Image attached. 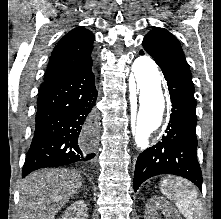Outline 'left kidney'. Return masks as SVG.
<instances>
[{
    "label": "left kidney",
    "instance_id": "5707ae66",
    "mask_svg": "<svg viewBox=\"0 0 221 219\" xmlns=\"http://www.w3.org/2000/svg\"><path fill=\"white\" fill-rule=\"evenodd\" d=\"M164 214L166 219H177L173 207L162 197L154 196L146 204L145 219H160V214Z\"/></svg>",
    "mask_w": 221,
    "mask_h": 219
}]
</instances>
